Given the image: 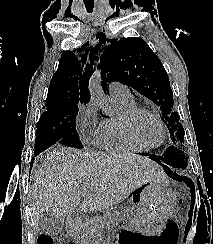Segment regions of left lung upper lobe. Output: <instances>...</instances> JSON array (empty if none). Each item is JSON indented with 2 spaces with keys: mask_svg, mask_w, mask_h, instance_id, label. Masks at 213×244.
I'll use <instances>...</instances> for the list:
<instances>
[{
  "mask_svg": "<svg viewBox=\"0 0 213 244\" xmlns=\"http://www.w3.org/2000/svg\"><path fill=\"white\" fill-rule=\"evenodd\" d=\"M110 43L100 57L104 80L121 82L159 106L172 143L184 142L185 132L173 109L169 78L158 56L140 38L114 39ZM167 149L173 155L174 168L183 170L187 166L183 151L173 146Z\"/></svg>",
  "mask_w": 213,
  "mask_h": 244,
  "instance_id": "obj_1",
  "label": "left lung upper lobe"
}]
</instances>
